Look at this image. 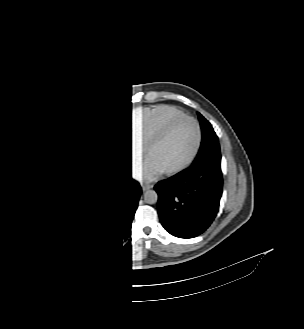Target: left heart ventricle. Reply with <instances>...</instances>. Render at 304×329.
<instances>
[{"instance_id": "b2bd125f", "label": "left heart ventricle", "mask_w": 304, "mask_h": 329, "mask_svg": "<svg viewBox=\"0 0 304 329\" xmlns=\"http://www.w3.org/2000/svg\"><path fill=\"white\" fill-rule=\"evenodd\" d=\"M196 140L195 123L190 120H182L172 128L166 139L151 150L147 160L161 171L176 167L191 154Z\"/></svg>"}]
</instances>
